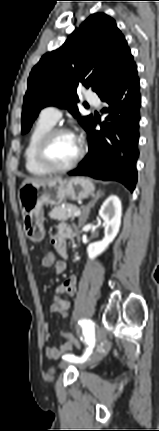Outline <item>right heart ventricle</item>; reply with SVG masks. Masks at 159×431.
<instances>
[{"instance_id": "e07e8e85", "label": "right heart ventricle", "mask_w": 159, "mask_h": 431, "mask_svg": "<svg viewBox=\"0 0 159 431\" xmlns=\"http://www.w3.org/2000/svg\"><path fill=\"white\" fill-rule=\"evenodd\" d=\"M53 126V123L41 116L28 135L24 149V162L27 172L33 176H44L49 173L48 170L38 163L36 149L41 138L47 131L53 128Z\"/></svg>"}]
</instances>
